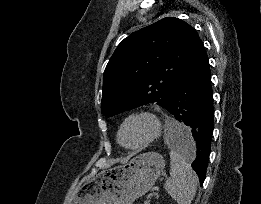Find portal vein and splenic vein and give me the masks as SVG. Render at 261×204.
<instances>
[{"mask_svg":"<svg viewBox=\"0 0 261 204\" xmlns=\"http://www.w3.org/2000/svg\"><path fill=\"white\" fill-rule=\"evenodd\" d=\"M153 196L152 193H149L148 196L146 197L145 201L143 204H150V200H151V197Z\"/></svg>","mask_w":261,"mask_h":204,"instance_id":"18ae733b","label":"portal vein and splenic vein"}]
</instances>
